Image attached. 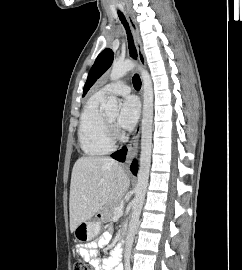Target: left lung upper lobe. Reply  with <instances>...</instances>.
<instances>
[{
  "label": "left lung upper lobe",
  "mask_w": 242,
  "mask_h": 270,
  "mask_svg": "<svg viewBox=\"0 0 242 270\" xmlns=\"http://www.w3.org/2000/svg\"><path fill=\"white\" fill-rule=\"evenodd\" d=\"M114 54L111 49L103 50L96 58L84 86L83 96L87 93L94 82L111 66Z\"/></svg>",
  "instance_id": "left-lung-upper-lobe-1"
}]
</instances>
